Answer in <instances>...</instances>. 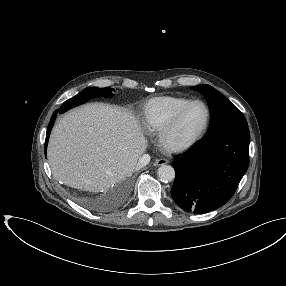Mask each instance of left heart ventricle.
Returning a JSON list of instances; mask_svg holds the SVG:
<instances>
[{
  "label": "left heart ventricle",
  "mask_w": 286,
  "mask_h": 286,
  "mask_svg": "<svg viewBox=\"0 0 286 286\" xmlns=\"http://www.w3.org/2000/svg\"><path fill=\"white\" fill-rule=\"evenodd\" d=\"M206 122V110L203 105L195 104L189 108L178 126L172 132L170 140L182 144L193 139L203 129Z\"/></svg>",
  "instance_id": "b2bd125f"
}]
</instances>
